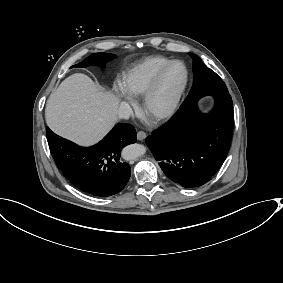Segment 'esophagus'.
<instances>
[{
  "label": "esophagus",
  "instance_id": "1",
  "mask_svg": "<svg viewBox=\"0 0 283 283\" xmlns=\"http://www.w3.org/2000/svg\"><path fill=\"white\" fill-rule=\"evenodd\" d=\"M145 138H146V133L144 131L140 130V131L137 132V139L138 140L142 141Z\"/></svg>",
  "mask_w": 283,
  "mask_h": 283
}]
</instances>
